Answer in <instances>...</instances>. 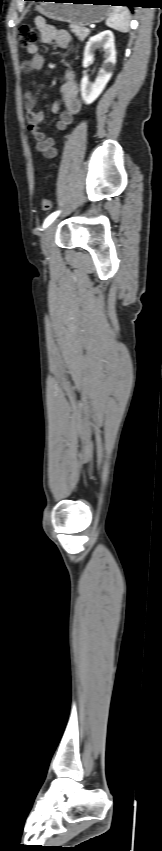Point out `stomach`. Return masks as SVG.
<instances>
[{"mask_svg": "<svg viewBox=\"0 0 162 851\" xmlns=\"http://www.w3.org/2000/svg\"><path fill=\"white\" fill-rule=\"evenodd\" d=\"M42 0L36 9L47 18L84 27L103 21L111 12L105 0ZM109 4V3H108Z\"/></svg>", "mask_w": 162, "mask_h": 851, "instance_id": "obj_1", "label": "stomach"}]
</instances>
